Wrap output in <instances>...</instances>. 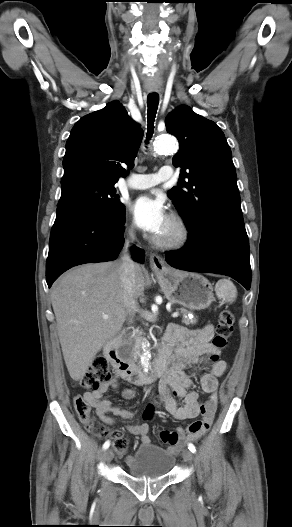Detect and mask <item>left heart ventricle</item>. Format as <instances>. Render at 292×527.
Returning a JSON list of instances; mask_svg holds the SVG:
<instances>
[{
    "label": "left heart ventricle",
    "mask_w": 292,
    "mask_h": 527,
    "mask_svg": "<svg viewBox=\"0 0 292 527\" xmlns=\"http://www.w3.org/2000/svg\"><path fill=\"white\" fill-rule=\"evenodd\" d=\"M172 232V227L170 222L166 225L163 231L158 236H168Z\"/></svg>",
    "instance_id": "b2bd125f"
}]
</instances>
